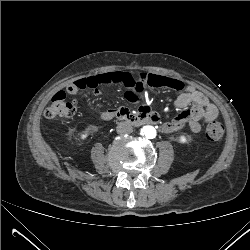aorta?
Listing matches in <instances>:
<instances>
[{
    "instance_id": "aorta-1",
    "label": "aorta",
    "mask_w": 250,
    "mask_h": 250,
    "mask_svg": "<svg viewBox=\"0 0 250 250\" xmlns=\"http://www.w3.org/2000/svg\"><path fill=\"white\" fill-rule=\"evenodd\" d=\"M140 133H141V135L145 136L147 139H154L157 135V131H156L155 127H153L151 125L143 126L140 129Z\"/></svg>"
}]
</instances>
